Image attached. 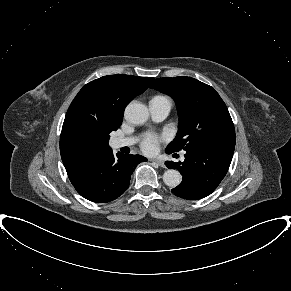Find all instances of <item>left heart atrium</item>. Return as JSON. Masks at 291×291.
<instances>
[{
	"instance_id": "left-heart-atrium-1",
	"label": "left heart atrium",
	"mask_w": 291,
	"mask_h": 291,
	"mask_svg": "<svg viewBox=\"0 0 291 291\" xmlns=\"http://www.w3.org/2000/svg\"><path fill=\"white\" fill-rule=\"evenodd\" d=\"M161 137L155 133H147L144 135L141 148L148 154H153L157 151Z\"/></svg>"
}]
</instances>
